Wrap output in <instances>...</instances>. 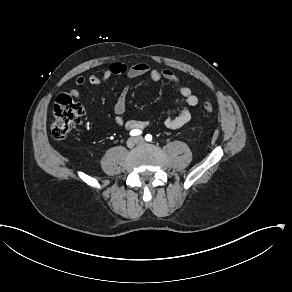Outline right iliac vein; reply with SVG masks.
<instances>
[{
	"label": "right iliac vein",
	"instance_id": "right-iliac-vein-1",
	"mask_svg": "<svg viewBox=\"0 0 292 292\" xmlns=\"http://www.w3.org/2000/svg\"><path fill=\"white\" fill-rule=\"evenodd\" d=\"M138 142H139V141H138L137 138H130V139H128V141H127V146H128L129 148H133Z\"/></svg>",
	"mask_w": 292,
	"mask_h": 292
}]
</instances>
